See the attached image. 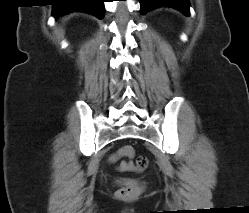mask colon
I'll return each instance as SVG.
<instances>
[{"label":"colon","mask_w":249,"mask_h":213,"mask_svg":"<svg viewBox=\"0 0 249 213\" xmlns=\"http://www.w3.org/2000/svg\"><path fill=\"white\" fill-rule=\"evenodd\" d=\"M134 154V149L125 145L121 147L117 152H115L111 157V161H116L120 156H132ZM147 166V158L140 156L137 158L135 163H122L120 165V170H133L135 172H142ZM139 188L135 185H126L120 188L117 192L121 199H133L138 194Z\"/></svg>","instance_id":"colon-1"}]
</instances>
